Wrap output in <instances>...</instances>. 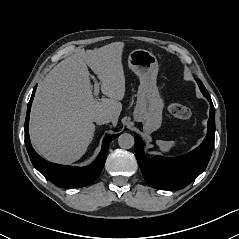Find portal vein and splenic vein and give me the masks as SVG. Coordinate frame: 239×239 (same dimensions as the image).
Here are the masks:
<instances>
[{
	"label": "portal vein and splenic vein",
	"mask_w": 239,
	"mask_h": 239,
	"mask_svg": "<svg viewBox=\"0 0 239 239\" xmlns=\"http://www.w3.org/2000/svg\"><path fill=\"white\" fill-rule=\"evenodd\" d=\"M93 94L95 97H97L99 94V83H97V82L94 85V93Z\"/></svg>",
	"instance_id": "1"
}]
</instances>
